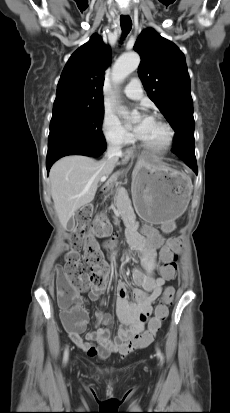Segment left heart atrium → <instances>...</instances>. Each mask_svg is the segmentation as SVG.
<instances>
[{
    "mask_svg": "<svg viewBox=\"0 0 230 413\" xmlns=\"http://www.w3.org/2000/svg\"><path fill=\"white\" fill-rule=\"evenodd\" d=\"M151 120L152 119L148 115L142 114L139 122L134 127V133L137 137L140 138L145 133L151 123Z\"/></svg>",
    "mask_w": 230,
    "mask_h": 413,
    "instance_id": "39dd6f15",
    "label": "left heart atrium"
}]
</instances>
